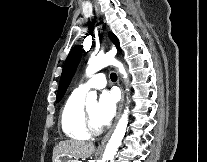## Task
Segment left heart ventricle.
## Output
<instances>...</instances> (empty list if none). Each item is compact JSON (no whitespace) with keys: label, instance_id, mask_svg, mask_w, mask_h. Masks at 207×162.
<instances>
[{"label":"left heart ventricle","instance_id":"obj_1","mask_svg":"<svg viewBox=\"0 0 207 162\" xmlns=\"http://www.w3.org/2000/svg\"><path fill=\"white\" fill-rule=\"evenodd\" d=\"M87 108H88L89 114H90L91 119L94 122V124L97 126H101L98 119H97L98 104L93 103V104L89 105Z\"/></svg>","mask_w":207,"mask_h":162}]
</instances>
